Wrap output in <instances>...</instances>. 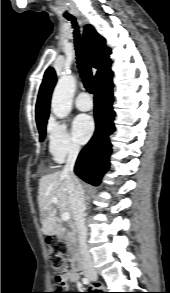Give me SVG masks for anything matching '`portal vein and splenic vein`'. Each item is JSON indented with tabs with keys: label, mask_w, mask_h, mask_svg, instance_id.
Returning a JSON list of instances; mask_svg holds the SVG:
<instances>
[{
	"label": "portal vein and splenic vein",
	"mask_w": 170,
	"mask_h": 293,
	"mask_svg": "<svg viewBox=\"0 0 170 293\" xmlns=\"http://www.w3.org/2000/svg\"><path fill=\"white\" fill-rule=\"evenodd\" d=\"M51 201H52L53 204H59L57 198H52ZM62 220H63V221H69V220H70V213H69V212H64V213L62 214Z\"/></svg>",
	"instance_id": "obj_1"
}]
</instances>
